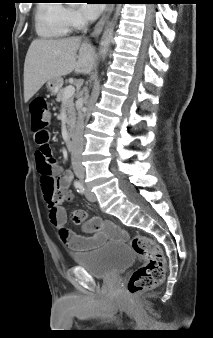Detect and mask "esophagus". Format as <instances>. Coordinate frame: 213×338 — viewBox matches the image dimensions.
Listing matches in <instances>:
<instances>
[{"mask_svg": "<svg viewBox=\"0 0 213 338\" xmlns=\"http://www.w3.org/2000/svg\"><path fill=\"white\" fill-rule=\"evenodd\" d=\"M113 11V4L108 3L105 7V10L101 16V18L99 19V21L96 23L93 32H92V37L96 38L100 35V33L102 32L105 24L107 23V21L110 18V15Z\"/></svg>", "mask_w": 213, "mask_h": 338, "instance_id": "34e87169", "label": "esophagus"}]
</instances>
